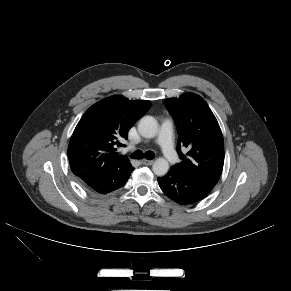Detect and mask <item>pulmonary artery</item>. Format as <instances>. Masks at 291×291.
<instances>
[{"label":"pulmonary artery","instance_id":"obj_1","mask_svg":"<svg viewBox=\"0 0 291 291\" xmlns=\"http://www.w3.org/2000/svg\"><path fill=\"white\" fill-rule=\"evenodd\" d=\"M172 132L173 120L171 118H167L161 125L156 143L160 146L167 161L171 164H175L177 162V155L173 148Z\"/></svg>","mask_w":291,"mask_h":291}]
</instances>
